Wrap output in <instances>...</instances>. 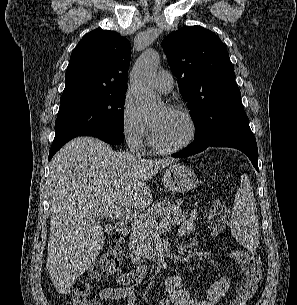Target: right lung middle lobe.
I'll list each match as a JSON object with an SVG mask.
<instances>
[{"mask_svg": "<svg viewBox=\"0 0 297 305\" xmlns=\"http://www.w3.org/2000/svg\"><path fill=\"white\" fill-rule=\"evenodd\" d=\"M125 93L88 94L60 100L52 148L91 132L123 133Z\"/></svg>", "mask_w": 297, "mask_h": 305, "instance_id": "1", "label": "right lung middle lobe"}]
</instances>
